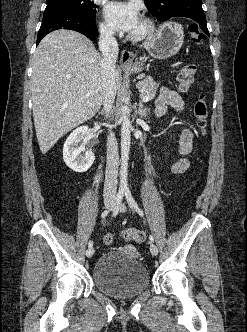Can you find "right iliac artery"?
Masks as SVG:
<instances>
[{"label": "right iliac artery", "instance_id": "82829eb1", "mask_svg": "<svg viewBox=\"0 0 247 332\" xmlns=\"http://www.w3.org/2000/svg\"><path fill=\"white\" fill-rule=\"evenodd\" d=\"M123 196H124V191H119L117 194L115 203H114V208H116V211H118V208L123 200ZM109 212H110V210L103 211L101 214V218H105L109 214ZM92 246H93V241L90 240L88 243V247L90 248Z\"/></svg>", "mask_w": 247, "mask_h": 332}]
</instances>
